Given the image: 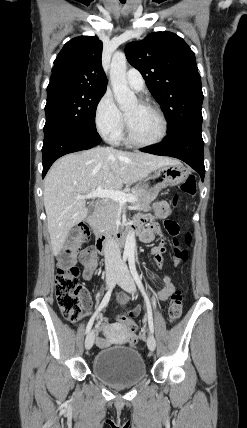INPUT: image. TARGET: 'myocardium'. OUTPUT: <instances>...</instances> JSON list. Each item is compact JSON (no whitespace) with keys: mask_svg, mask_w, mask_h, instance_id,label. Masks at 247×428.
Here are the masks:
<instances>
[{"mask_svg":"<svg viewBox=\"0 0 247 428\" xmlns=\"http://www.w3.org/2000/svg\"><path fill=\"white\" fill-rule=\"evenodd\" d=\"M138 103L140 105L148 107L149 109L153 110L157 114L158 118L160 119L161 126H162L161 133L156 139L151 140V141L139 140L133 135V133L130 129V126L127 122V119H125L127 139L133 145L140 146V147L155 146V145L162 143L166 139V137L168 135V130H169L168 121H167V118H166L164 112L161 110L160 107H158L157 105L153 104L150 101L140 100Z\"/></svg>","mask_w":247,"mask_h":428,"instance_id":"myocardium-1","label":"myocardium"}]
</instances>
